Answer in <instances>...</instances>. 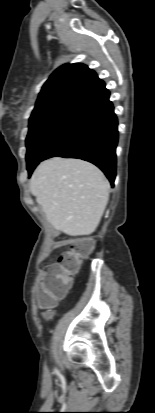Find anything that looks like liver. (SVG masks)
Instances as JSON below:
<instances>
[{"label":"liver","instance_id":"liver-1","mask_svg":"<svg viewBox=\"0 0 155 413\" xmlns=\"http://www.w3.org/2000/svg\"><path fill=\"white\" fill-rule=\"evenodd\" d=\"M30 188L56 230L80 236L92 234L99 225L109 200L110 184L89 162L55 157L38 165Z\"/></svg>","mask_w":155,"mask_h":413}]
</instances>
